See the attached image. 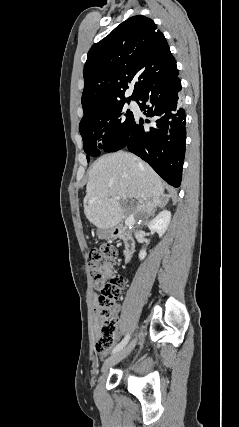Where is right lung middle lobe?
Segmentation results:
<instances>
[{
	"mask_svg": "<svg viewBox=\"0 0 239 427\" xmlns=\"http://www.w3.org/2000/svg\"><path fill=\"white\" fill-rule=\"evenodd\" d=\"M126 102L130 99L101 103L84 114L79 131L88 161L89 156H99L102 151L121 149L127 141L134 116L124 106Z\"/></svg>",
	"mask_w": 239,
	"mask_h": 427,
	"instance_id": "dd1d6c3e",
	"label": "right lung middle lobe"
}]
</instances>
